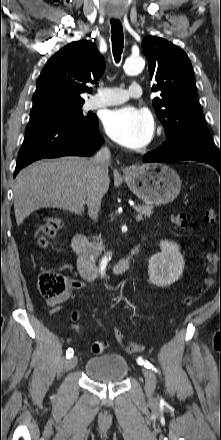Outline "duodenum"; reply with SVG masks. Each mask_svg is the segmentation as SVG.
Instances as JSON below:
<instances>
[{
  "instance_id": "1",
  "label": "duodenum",
  "mask_w": 221,
  "mask_h": 440,
  "mask_svg": "<svg viewBox=\"0 0 221 440\" xmlns=\"http://www.w3.org/2000/svg\"><path fill=\"white\" fill-rule=\"evenodd\" d=\"M87 237L84 234H76L72 239V249L77 256V270L80 276L86 280H94L98 277L99 270L96 264L91 260L90 255L86 251ZM139 251V245L135 246L127 255L120 259L114 266L115 275L125 273L132 260Z\"/></svg>"
}]
</instances>
